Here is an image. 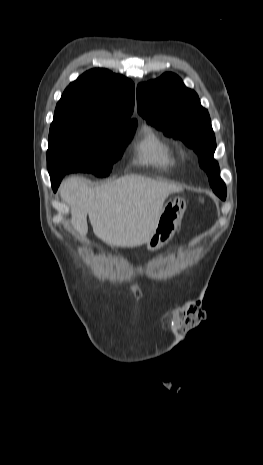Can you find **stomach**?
<instances>
[{"label": "stomach", "mask_w": 263, "mask_h": 465, "mask_svg": "<svg viewBox=\"0 0 263 465\" xmlns=\"http://www.w3.org/2000/svg\"><path fill=\"white\" fill-rule=\"evenodd\" d=\"M186 210V201L172 197L164 205L155 229L147 242V249L155 251L166 244L174 235Z\"/></svg>", "instance_id": "stomach-1"}]
</instances>
